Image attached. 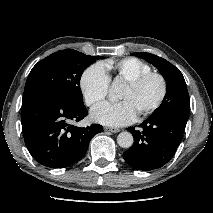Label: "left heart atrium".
Instances as JSON below:
<instances>
[{"mask_svg":"<svg viewBox=\"0 0 213 213\" xmlns=\"http://www.w3.org/2000/svg\"><path fill=\"white\" fill-rule=\"evenodd\" d=\"M137 116V112L128 100H123L118 103L105 102L91 111L93 121L113 127L124 126L132 123Z\"/></svg>","mask_w":213,"mask_h":213,"instance_id":"obj_1","label":"left heart atrium"}]
</instances>
